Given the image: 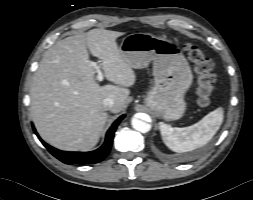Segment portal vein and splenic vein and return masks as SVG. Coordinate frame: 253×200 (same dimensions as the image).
I'll return each mask as SVG.
<instances>
[{
    "mask_svg": "<svg viewBox=\"0 0 253 200\" xmlns=\"http://www.w3.org/2000/svg\"><path fill=\"white\" fill-rule=\"evenodd\" d=\"M92 65H93V67L95 68V70H96V72L98 74L97 80L98 81H103L104 75H103V72L100 69V66H98L97 63H95V62H92Z\"/></svg>",
    "mask_w": 253,
    "mask_h": 200,
    "instance_id": "18ae733b",
    "label": "portal vein and splenic vein"
}]
</instances>
